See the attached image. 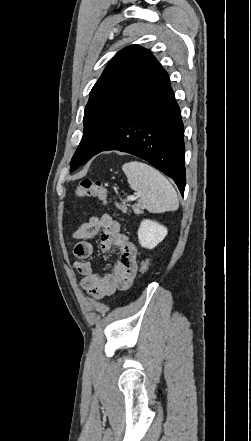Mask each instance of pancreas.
Masks as SVG:
<instances>
[{"label":"pancreas","mask_w":251,"mask_h":441,"mask_svg":"<svg viewBox=\"0 0 251 441\" xmlns=\"http://www.w3.org/2000/svg\"><path fill=\"white\" fill-rule=\"evenodd\" d=\"M122 212H126L127 210V206L126 203L123 202L122 204H117L116 205ZM132 210L135 214H141L142 213V206L140 204H135L134 206H132Z\"/></svg>","instance_id":"cf45deb5"}]
</instances>
